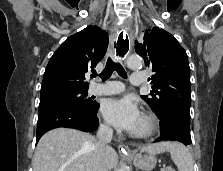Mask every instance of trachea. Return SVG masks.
<instances>
[{"label":"trachea","instance_id":"3493384b","mask_svg":"<svg viewBox=\"0 0 223 171\" xmlns=\"http://www.w3.org/2000/svg\"><path fill=\"white\" fill-rule=\"evenodd\" d=\"M113 71H116L122 78H127V73L123 66L119 62H114L111 58H108L106 66L99 76L105 81L111 77ZM96 75L97 73H94L93 77Z\"/></svg>","mask_w":223,"mask_h":171}]
</instances>
